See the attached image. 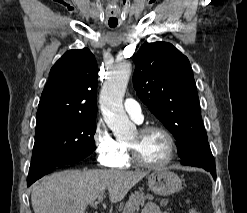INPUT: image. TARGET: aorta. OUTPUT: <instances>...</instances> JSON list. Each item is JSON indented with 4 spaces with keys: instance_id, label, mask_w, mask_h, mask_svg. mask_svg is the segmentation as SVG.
<instances>
[{
    "instance_id": "1",
    "label": "aorta",
    "mask_w": 247,
    "mask_h": 213,
    "mask_svg": "<svg viewBox=\"0 0 247 213\" xmlns=\"http://www.w3.org/2000/svg\"><path fill=\"white\" fill-rule=\"evenodd\" d=\"M131 75V64L121 62L108 74L100 92L99 102L104 120L117 137L130 135L135 125L123 108V97Z\"/></svg>"
}]
</instances>
